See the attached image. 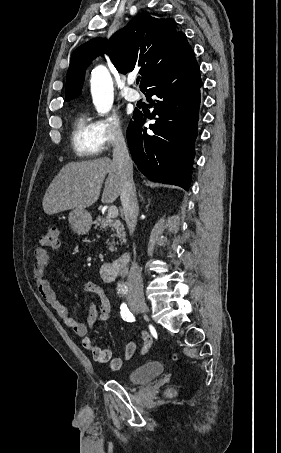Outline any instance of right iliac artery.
I'll return each instance as SVG.
<instances>
[{"mask_svg": "<svg viewBox=\"0 0 281 453\" xmlns=\"http://www.w3.org/2000/svg\"><path fill=\"white\" fill-rule=\"evenodd\" d=\"M121 317L123 318V320L127 321V322H134L135 321V318L133 316V314L128 310L127 308V305L126 304H122L121 307Z\"/></svg>", "mask_w": 281, "mask_h": 453, "instance_id": "right-iliac-artery-1", "label": "right iliac artery"}]
</instances>
